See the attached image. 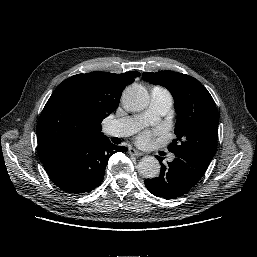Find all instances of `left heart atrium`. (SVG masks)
<instances>
[{"label":"left heart atrium","mask_w":257,"mask_h":257,"mask_svg":"<svg viewBox=\"0 0 257 257\" xmlns=\"http://www.w3.org/2000/svg\"><path fill=\"white\" fill-rule=\"evenodd\" d=\"M151 138H152V133L151 132H143L139 138H138V141L141 143V144H148L150 141H151Z\"/></svg>","instance_id":"39dd6f15"}]
</instances>
